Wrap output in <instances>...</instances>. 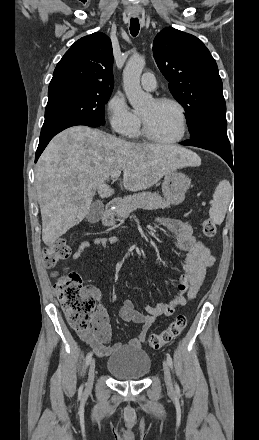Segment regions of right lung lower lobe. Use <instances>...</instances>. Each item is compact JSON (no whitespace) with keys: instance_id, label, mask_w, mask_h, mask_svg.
I'll return each instance as SVG.
<instances>
[{"instance_id":"right-lung-lower-lobe-1","label":"right lung lower lobe","mask_w":259,"mask_h":440,"mask_svg":"<svg viewBox=\"0 0 259 440\" xmlns=\"http://www.w3.org/2000/svg\"><path fill=\"white\" fill-rule=\"evenodd\" d=\"M76 125H86L89 127H99L100 124L90 122L82 119H66L56 123H52L49 125H43L40 134L39 145L36 151L35 162H37L39 156L49 143V141L59 132L63 131L66 128L76 126Z\"/></svg>"}]
</instances>
